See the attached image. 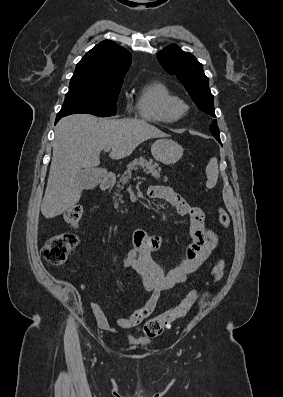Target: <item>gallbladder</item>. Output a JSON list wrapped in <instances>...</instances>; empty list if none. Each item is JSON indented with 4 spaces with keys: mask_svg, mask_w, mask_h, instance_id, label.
I'll return each mask as SVG.
<instances>
[{
    "mask_svg": "<svg viewBox=\"0 0 283 397\" xmlns=\"http://www.w3.org/2000/svg\"><path fill=\"white\" fill-rule=\"evenodd\" d=\"M79 177L84 188L92 190L100 184L103 172L99 169H83L80 171Z\"/></svg>",
    "mask_w": 283,
    "mask_h": 397,
    "instance_id": "gallbladder-1",
    "label": "gallbladder"
}]
</instances>
